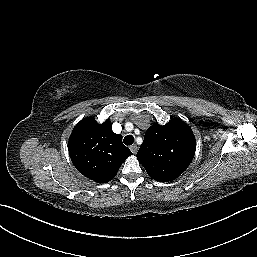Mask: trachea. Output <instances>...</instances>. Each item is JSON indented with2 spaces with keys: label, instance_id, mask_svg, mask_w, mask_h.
Listing matches in <instances>:
<instances>
[{
  "label": "trachea",
  "instance_id": "3493384b",
  "mask_svg": "<svg viewBox=\"0 0 257 257\" xmlns=\"http://www.w3.org/2000/svg\"><path fill=\"white\" fill-rule=\"evenodd\" d=\"M123 142L125 145L129 146L134 143V137L132 135H127L124 139Z\"/></svg>",
  "mask_w": 257,
  "mask_h": 257
}]
</instances>
